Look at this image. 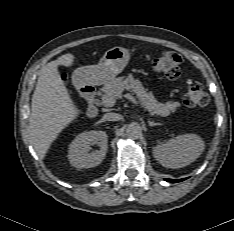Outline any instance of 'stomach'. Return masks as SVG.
Listing matches in <instances>:
<instances>
[{
    "instance_id": "stomach-1",
    "label": "stomach",
    "mask_w": 234,
    "mask_h": 231,
    "mask_svg": "<svg viewBox=\"0 0 234 231\" xmlns=\"http://www.w3.org/2000/svg\"><path fill=\"white\" fill-rule=\"evenodd\" d=\"M129 51L123 47H113L105 52L97 65L76 69L73 78L79 83L101 85L118 75L127 66Z\"/></svg>"
}]
</instances>
